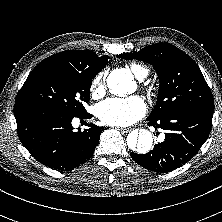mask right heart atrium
Listing matches in <instances>:
<instances>
[{
	"label": "right heart atrium",
	"instance_id": "d8ad5b80",
	"mask_svg": "<svg viewBox=\"0 0 222 222\" xmlns=\"http://www.w3.org/2000/svg\"><path fill=\"white\" fill-rule=\"evenodd\" d=\"M106 75L104 73L98 74L91 83V92L94 97H99L105 92Z\"/></svg>",
	"mask_w": 222,
	"mask_h": 222
}]
</instances>
